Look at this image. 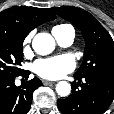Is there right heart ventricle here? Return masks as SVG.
<instances>
[{"instance_id": "e07e8e85", "label": "right heart ventricle", "mask_w": 114, "mask_h": 114, "mask_svg": "<svg viewBox=\"0 0 114 114\" xmlns=\"http://www.w3.org/2000/svg\"><path fill=\"white\" fill-rule=\"evenodd\" d=\"M69 25L67 24H60V25H56L54 28H53V31L56 30V31H61L63 29H65L66 27H68Z\"/></svg>"}]
</instances>
